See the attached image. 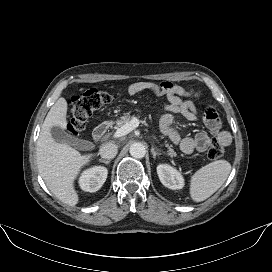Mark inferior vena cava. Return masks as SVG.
Returning a JSON list of instances; mask_svg holds the SVG:
<instances>
[{
  "label": "inferior vena cava",
  "instance_id": "602c4592",
  "mask_svg": "<svg viewBox=\"0 0 272 272\" xmlns=\"http://www.w3.org/2000/svg\"><path fill=\"white\" fill-rule=\"evenodd\" d=\"M117 152V145L111 142L104 143L99 150V154L101 155V157L108 160L113 159L117 155Z\"/></svg>",
  "mask_w": 272,
  "mask_h": 272
}]
</instances>
